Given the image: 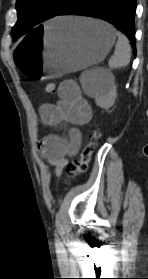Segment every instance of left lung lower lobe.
I'll return each mask as SVG.
<instances>
[{
  "label": "left lung lower lobe",
  "mask_w": 148,
  "mask_h": 279,
  "mask_svg": "<svg viewBox=\"0 0 148 279\" xmlns=\"http://www.w3.org/2000/svg\"><path fill=\"white\" fill-rule=\"evenodd\" d=\"M135 10L136 0H72L57 15H83L108 21L129 38L135 54Z\"/></svg>",
  "instance_id": "1"
}]
</instances>
